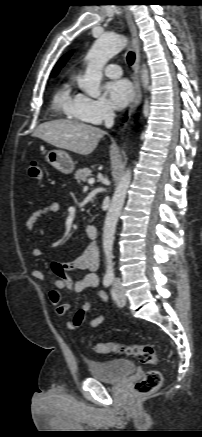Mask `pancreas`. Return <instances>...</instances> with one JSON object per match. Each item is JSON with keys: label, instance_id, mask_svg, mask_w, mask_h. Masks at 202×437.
Instances as JSON below:
<instances>
[{"label": "pancreas", "instance_id": "pancreas-1", "mask_svg": "<svg viewBox=\"0 0 202 437\" xmlns=\"http://www.w3.org/2000/svg\"><path fill=\"white\" fill-rule=\"evenodd\" d=\"M92 175V171L89 168L79 169L75 172L74 176L78 183L86 181L89 176Z\"/></svg>", "mask_w": 202, "mask_h": 437}]
</instances>
